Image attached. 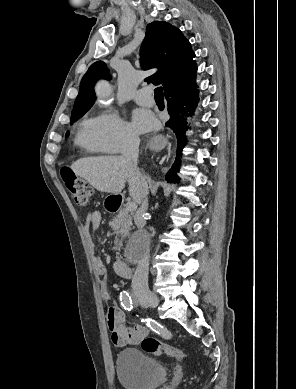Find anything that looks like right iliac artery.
<instances>
[{
	"instance_id": "82829eb1",
	"label": "right iliac artery",
	"mask_w": 296,
	"mask_h": 389,
	"mask_svg": "<svg viewBox=\"0 0 296 389\" xmlns=\"http://www.w3.org/2000/svg\"><path fill=\"white\" fill-rule=\"evenodd\" d=\"M120 301L124 309L131 311L134 308V303L132 301V298L129 295V293H127L126 291H124L123 293L121 292Z\"/></svg>"
}]
</instances>
